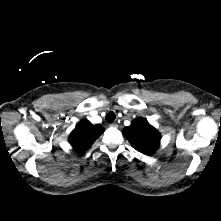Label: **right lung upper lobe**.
Instances as JSON below:
<instances>
[{
	"label": "right lung upper lobe",
	"mask_w": 221,
	"mask_h": 221,
	"mask_svg": "<svg viewBox=\"0 0 221 221\" xmlns=\"http://www.w3.org/2000/svg\"><path fill=\"white\" fill-rule=\"evenodd\" d=\"M103 132L104 128L101 125H92L89 121L83 120L71 132L69 142L76 151L83 152L90 148Z\"/></svg>",
	"instance_id": "1"
}]
</instances>
